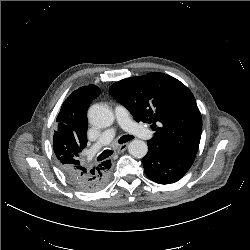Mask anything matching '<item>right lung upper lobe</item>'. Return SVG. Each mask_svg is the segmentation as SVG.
Masks as SVG:
<instances>
[{"label":"right lung upper lobe","instance_id":"right-lung-upper-lobe-1","mask_svg":"<svg viewBox=\"0 0 250 250\" xmlns=\"http://www.w3.org/2000/svg\"><path fill=\"white\" fill-rule=\"evenodd\" d=\"M101 90L95 85L73 91L62 104L53 136L54 153L61 167L83 164L81 152L87 144V109Z\"/></svg>","mask_w":250,"mask_h":250}]
</instances>
